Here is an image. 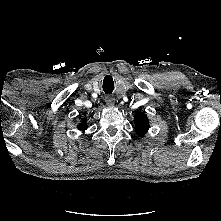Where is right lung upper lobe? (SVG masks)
<instances>
[{
    "label": "right lung upper lobe",
    "instance_id": "right-lung-upper-lobe-1",
    "mask_svg": "<svg viewBox=\"0 0 221 221\" xmlns=\"http://www.w3.org/2000/svg\"><path fill=\"white\" fill-rule=\"evenodd\" d=\"M79 130L84 131L87 128L86 125V120H83L79 125H78Z\"/></svg>",
    "mask_w": 221,
    "mask_h": 221
}]
</instances>
